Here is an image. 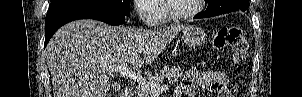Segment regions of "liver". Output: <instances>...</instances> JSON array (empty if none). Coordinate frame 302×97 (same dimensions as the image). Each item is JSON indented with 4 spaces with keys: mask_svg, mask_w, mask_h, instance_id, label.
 <instances>
[{
    "mask_svg": "<svg viewBox=\"0 0 302 97\" xmlns=\"http://www.w3.org/2000/svg\"><path fill=\"white\" fill-rule=\"evenodd\" d=\"M184 27L145 30L89 19L64 25L46 47L54 97H107L111 79L105 67L151 64Z\"/></svg>",
    "mask_w": 302,
    "mask_h": 97,
    "instance_id": "1",
    "label": "liver"
}]
</instances>
